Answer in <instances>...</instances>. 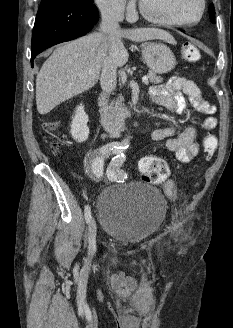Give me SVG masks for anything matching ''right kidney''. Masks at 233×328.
<instances>
[{
    "mask_svg": "<svg viewBox=\"0 0 233 328\" xmlns=\"http://www.w3.org/2000/svg\"><path fill=\"white\" fill-rule=\"evenodd\" d=\"M88 115L84 111V106L80 104L77 106L75 115L72 118L71 135L73 139L78 142H84L88 139L89 128L87 126Z\"/></svg>",
    "mask_w": 233,
    "mask_h": 328,
    "instance_id": "1",
    "label": "right kidney"
}]
</instances>
